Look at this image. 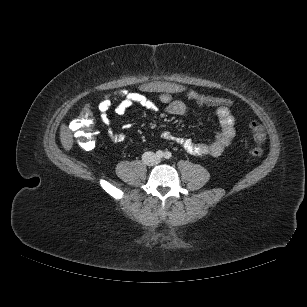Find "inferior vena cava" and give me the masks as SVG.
Listing matches in <instances>:
<instances>
[{
	"mask_svg": "<svg viewBox=\"0 0 307 307\" xmlns=\"http://www.w3.org/2000/svg\"><path fill=\"white\" fill-rule=\"evenodd\" d=\"M142 161L148 166H152L158 163V158L154 152L148 151L143 153Z\"/></svg>",
	"mask_w": 307,
	"mask_h": 307,
	"instance_id": "obj_1",
	"label": "inferior vena cava"
}]
</instances>
